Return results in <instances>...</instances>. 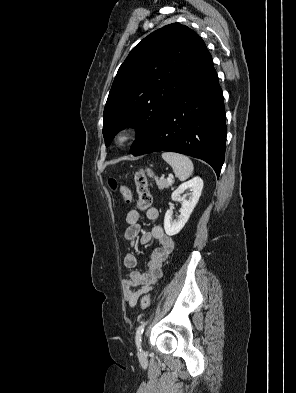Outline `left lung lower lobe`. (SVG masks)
Wrapping results in <instances>:
<instances>
[{"mask_svg": "<svg viewBox=\"0 0 296 393\" xmlns=\"http://www.w3.org/2000/svg\"><path fill=\"white\" fill-rule=\"evenodd\" d=\"M223 94L211 56L167 108L135 156L172 151L210 164L219 176L225 158Z\"/></svg>", "mask_w": 296, "mask_h": 393, "instance_id": "left-lung-lower-lobe-1", "label": "left lung lower lobe"}]
</instances>
